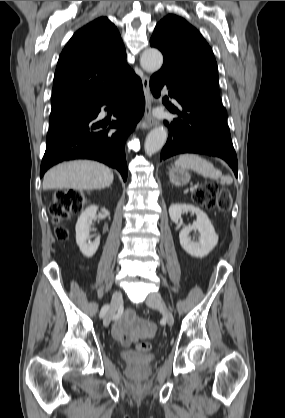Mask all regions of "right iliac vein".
Instances as JSON below:
<instances>
[{
  "instance_id": "1",
  "label": "right iliac vein",
  "mask_w": 285,
  "mask_h": 418,
  "mask_svg": "<svg viewBox=\"0 0 285 418\" xmlns=\"http://www.w3.org/2000/svg\"><path fill=\"white\" fill-rule=\"evenodd\" d=\"M122 302V293L120 291H115L112 295L110 307L103 319V325L105 327H108L111 320L115 316V313L117 309L119 308L120 304Z\"/></svg>"
}]
</instances>
